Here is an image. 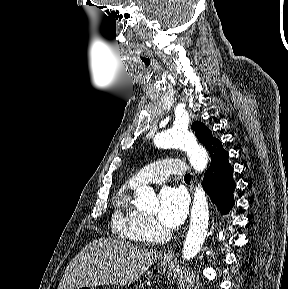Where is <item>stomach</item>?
<instances>
[{
	"label": "stomach",
	"mask_w": 288,
	"mask_h": 289,
	"mask_svg": "<svg viewBox=\"0 0 288 289\" xmlns=\"http://www.w3.org/2000/svg\"><path fill=\"white\" fill-rule=\"evenodd\" d=\"M171 261L167 260V261H162L161 262V267H166L168 265H170ZM84 289H95L94 287H84Z\"/></svg>",
	"instance_id": "obj_1"
}]
</instances>
